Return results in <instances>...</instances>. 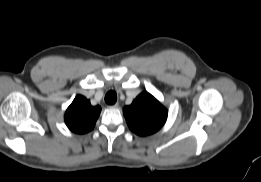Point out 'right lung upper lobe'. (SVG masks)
<instances>
[{"instance_id":"cb5924a9","label":"right lung upper lobe","mask_w":261,"mask_h":182,"mask_svg":"<svg viewBox=\"0 0 261 182\" xmlns=\"http://www.w3.org/2000/svg\"><path fill=\"white\" fill-rule=\"evenodd\" d=\"M100 112V106H92L85 97L77 95L66 110L65 123L74 133L84 134L94 128Z\"/></svg>"}]
</instances>
